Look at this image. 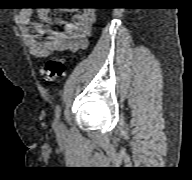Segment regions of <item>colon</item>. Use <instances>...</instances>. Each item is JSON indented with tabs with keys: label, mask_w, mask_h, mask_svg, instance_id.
I'll use <instances>...</instances> for the list:
<instances>
[{
	"label": "colon",
	"mask_w": 192,
	"mask_h": 180,
	"mask_svg": "<svg viewBox=\"0 0 192 180\" xmlns=\"http://www.w3.org/2000/svg\"><path fill=\"white\" fill-rule=\"evenodd\" d=\"M64 71H65V65L63 61L59 58L48 60L43 69L45 79L48 82L57 81L59 78L62 77Z\"/></svg>",
	"instance_id": "5ec220e1"
}]
</instances>
